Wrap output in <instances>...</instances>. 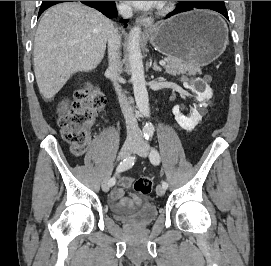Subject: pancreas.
Instances as JSON below:
<instances>
[{"instance_id":"1","label":"pancreas","mask_w":271,"mask_h":266,"mask_svg":"<svg viewBox=\"0 0 271 266\" xmlns=\"http://www.w3.org/2000/svg\"><path fill=\"white\" fill-rule=\"evenodd\" d=\"M167 64L164 66L166 72L171 75H179V74H201L200 66L193 65L189 62H185L176 58H167Z\"/></svg>"}]
</instances>
